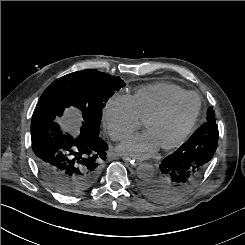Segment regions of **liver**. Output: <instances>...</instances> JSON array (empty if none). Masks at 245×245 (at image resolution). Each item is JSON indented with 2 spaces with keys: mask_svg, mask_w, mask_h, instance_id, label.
Returning <instances> with one entry per match:
<instances>
[{
  "mask_svg": "<svg viewBox=\"0 0 245 245\" xmlns=\"http://www.w3.org/2000/svg\"><path fill=\"white\" fill-rule=\"evenodd\" d=\"M66 118V120H59L58 122L63 126L70 127L74 132H76L77 127L75 123L78 121L77 112L74 110H68L66 112Z\"/></svg>",
  "mask_w": 245,
  "mask_h": 245,
  "instance_id": "6515ba94",
  "label": "liver"
}]
</instances>
